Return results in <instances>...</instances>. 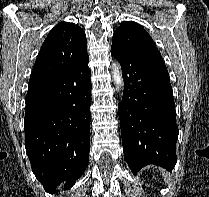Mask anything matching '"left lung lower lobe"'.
Here are the masks:
<instances>
[{
    "instance_id": "left-lung-lower-lobe-1",
    "label": "left lung lower lobe",
    "mask_w": 209,
    "mask_h": 197,
    "mask_svg": "<svg viewBox=\"0 0 209 197\" xmlns=\"http://www.w3.org/2000/svg\"><path fill=\"white\" fill-rule=\"evenodd\" d=\"M124 72L123 100L118 105L124 158L136 174L155 164L172 171L178 127L170 78L164 63L111 47Z\"/></svg>"
}]
</instances>
